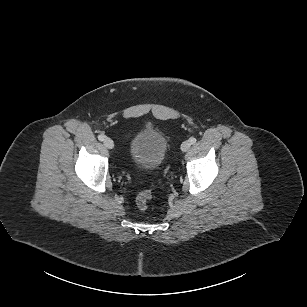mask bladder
Listing matches in <instances>:
<instances>
[{"label":"bladder","mask_w":307,"mask_h":307,"mask_svg":"<svg viewBox=\"0 0 307 307\" xmlns=\"http://www.w3.org/2000/svg\"><path fill=\"white\" fill-rule=\"evenodd\" d=\"M168 143L165 136L152 127L137 131L129 142L130 159L145 170L157 169L165 160Z\"/></svg>","instance_id":"bladder-1"}]
</instances>
